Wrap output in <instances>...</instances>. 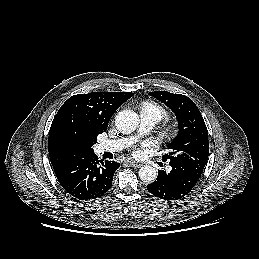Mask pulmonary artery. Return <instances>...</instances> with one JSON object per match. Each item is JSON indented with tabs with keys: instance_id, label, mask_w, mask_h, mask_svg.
Wrapping results in <instances>:
<instances>
[{
	"instance_id": "pulmonary-artery-1",
	"label": "pulmonary artery",
	"mask_w": 259,
	"mask_h": 259,
	"mask_svg": "<svg viewBox=\"0 0 259 259\" xmlns=\"http://www.w3.org/2000/svg\"><path fill=\"white\" fill-rule=\"evenodd\" d=\"M157 122H158V119L153 114L141 112L140 131H139L140 134H144L146 132L151 131ZM135 140H136L135 137H129V138L103 141L99 144V151L100 152L117 151L131 145Z\"/></svg>"
}]
</instances>
